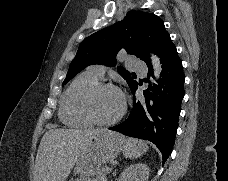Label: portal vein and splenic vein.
<instances>
[{"instance_id":"18ae733b","label":"portal vein and splenic vein","mask_w":228,"mask_h":181,"mask_svg":"<svg viewBox=\"0 0 228 181\" xmlns=\"http://www.w3.org/2000/svg\"><path fill=\"white\" fill-rule=\"evenodd\" d=\"M113 167H111V166H108L105 170V172L107 173L108 172V174H113Z\"/></svg>"}]
</instances>
